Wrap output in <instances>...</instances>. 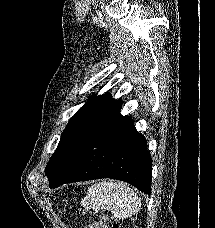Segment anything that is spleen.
I'll use <instances>...</instances> for the list:
<instances>
[{
    "mask_svg": "<svg viewBox=\"0 0 215 228\" xmlns=\"http://www.w3.org/2000/svg\"><path fill=\"white\" fill-rule=\"evenodd\" d=\"M82 204L91 206L93 210H108L118 220L131 218L141 206L134 190L124 182H98L90 186Z\"/></svg>",
    "mask_w": 215,
    "mask_h": 228,
    "instance_id": "obj_1",
    "label": "spleen"
}]
</instances>
